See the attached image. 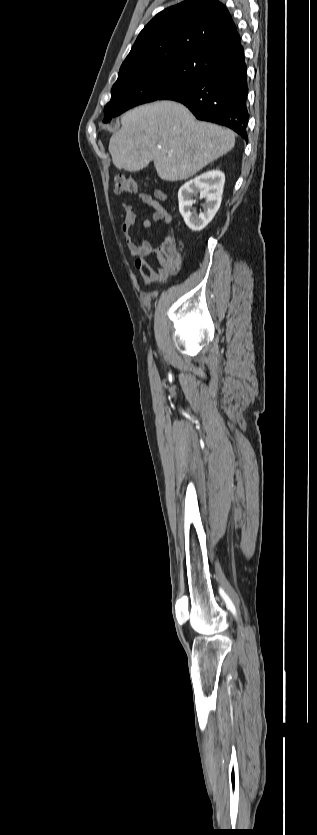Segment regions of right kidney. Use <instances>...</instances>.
Returning <instances> with one entry per match:
<instances>
[{"label": "right kidney", "instance_id": "right-kidney-1", "mask_svg": "<svg viewBox=\"0 0 317 835\" xmlns=\"http://www.w3.org/2000/svg\"><path fill=\"white\" fill-rule=\"evenodd\" d=\"M225 175L220 170L207 171L182 185L178 192L179 211L186 225L193 231H200L214 218L223 194ZM205 198L204 211L199 215L192 211L193 195Z\"/></svg>", "mask_w": 317, "mask_h": 835}]
</instances>
